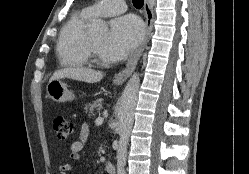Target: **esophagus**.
I'll list each match as a JSON object with an SVG mask.
<instances>
[{
  "label": "esophagus",
  "instance_id": "obj_1",
  "mask_svg": "<svg viewBox=\"0 0 249 174\" xmlns=\"http://www.w3.org/2000/svg\"><path fill=\"white\" fill-rule=\"evenodd\" d=\"M144 17H145V24H146V34H145V38L143 40V43L131 55V57L129 58V60L126 64V67L114 76V82L116 84H122L132 74V72L134 71V69L137 65L138 60L140 59L145 47L147 46V44L149 42L151 35H152L154 14H153V10L150 6L149 0H144Z\"/></svg>",
  "mask_w": 249,
  "mask_h": 174
}]
</instances>
